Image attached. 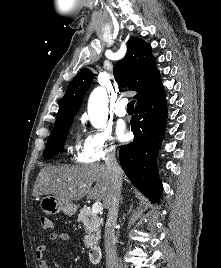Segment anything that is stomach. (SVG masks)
<instances>
[{
    "label": "stomach",
    "mask_w": 221,
    "mask_h": 268,
    "mask_svg": "<svg viewBox=\"0 0 221 268\" xmlns=\"http://www.w3.org/2000/svg\"><path fill=\"white\" fill-rule=\"evenodd\" d=\"M40 208L47 215H55L63 212L72 216L77 211V205L54 195H46L40 199Z\"/></svg>",
    "instance_id": "0dacf381"
}]
</instances>
